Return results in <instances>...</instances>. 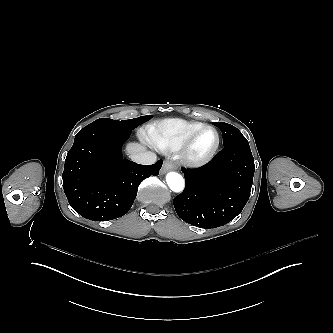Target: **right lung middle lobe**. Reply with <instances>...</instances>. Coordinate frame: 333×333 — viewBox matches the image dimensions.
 <instances>
[{"instance_id": "1", "label": "right lung middle lobe", "mask_w": 333, "mask_h": 333, "mask_svg": "<svg viewBox=\"0 0 333 333\" xmlns=\"http://www.w3.org/2000/svg\"><path fill=\"white\" fill-rule=\"evenodd\" d=\"M151 118H152L151 115L141 116L138 118L122 120V121L113 120L110 118H100V119H97L94 122H92L91 125H100V126L131 133V131L133 129H135L140 124L150 120Z\"/></svg>"}]
</instances>
